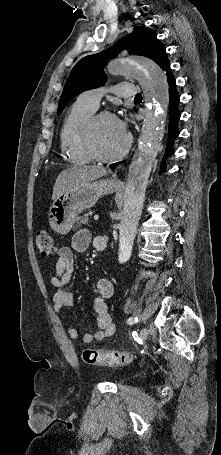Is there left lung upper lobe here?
Returning a JSON list of instances; mask_svg holds the SVG:
<instances>
[{"label":"left lung upper lobe","mask_w":221,"mask_h":455,"mask_svg":"<svg viewBox=\"0 0 221 455\" xmlns=\"http://www.w3.org/2000/svg\"><path fill=\"white\" fill-rule=\"evenodd\" d=\"M123 49H128L130 55H141L152 59L163 70L170 65L165 47L157 39V34L146 27L137 26L131 34L120 39L111 48L98 54L88 55L74 66L62 92L58 114L75 96L85 90L102 86L107 79L103 71L104 66Z\"/></svg>","instance_id":"1"}]
</instances>
